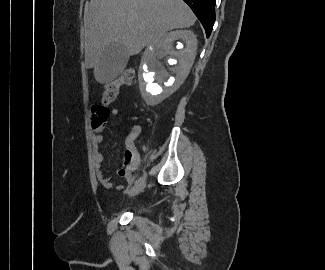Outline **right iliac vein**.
Instances as JSON below:
<instances>
[{
	"mask_svg": "<svg viewBox=\"0 0 325 270\" xmlns=\"http://www.w3.org/2000/svg\"><path fill=\"white\" fill-rule=\"evenodd\" d=\"M145 181H142L141 183L139 184H136L134 185L130 190H129V196H135V195H138L140 192L143 191V189L145 188Z\"/></svg>",
	"mask_w": 325,
	"mask_h": 270,
	"instance_id": "1",
	"label": "right iliac vein"
}]
</instances>
